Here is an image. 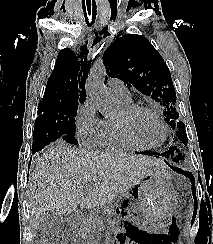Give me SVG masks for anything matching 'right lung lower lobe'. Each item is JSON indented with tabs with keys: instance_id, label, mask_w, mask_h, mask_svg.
I'll use <instances>...</instances> for the list:
<instances>
[{
	"instance_id": "right-lung-lower-lobe-1",
	"label": "right lung lower lobe",
	"mask_w": 213,
	"mask_h": 244,
	"mask_svg": "<svg viewBox=\"0 0 213 244\" xmlns=\"http://www.w3.org/2000/svg\"><path fill=\"white\" fill-rule=\"evenodd\" d=\"M41 150V149H40ZM39 151V150H38ZM37 151H32V153L34 154V153H36Z\"/></svg>"
}]
</instances>
